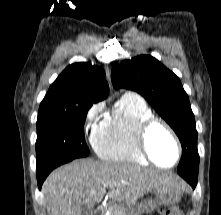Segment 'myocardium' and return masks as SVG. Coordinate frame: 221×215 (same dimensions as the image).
Returning a JSON list of instances; mask_svg holds the SVG:
<instances>
[{
	"label": "myocardium",
	"instance_id": "f54148a6",
	"mask_svg": "<svg viewBox=\"0 0 221 215\" xmlns=\"http://www.w3.org/2000/svg\"><path fill=\"white\" fill-rule=\"evenodd\" d=\"M155 126H161L162 128H164L168 132V134L171 136V138L173 139V141L175 143L176 150H177L176 159H175L174 163L169 166H163V165L158 164L153 159V157L149 151L148 144H147L148 135H149V132L151 131V129ZM135 143H136L137 149L139 150L141 155L149 163H151L152 165H154L158 168H161V169L174 168L181 160L182 146H181L180 140H179L177 134L175 133V131L173 130V128L166 121H164L160 118L153 116V117H150V118L146 119L145 121H143L136 130Z\"/></svg>",
	"mask_w": 221,
	"mask_h": 215
}]
</instances>
